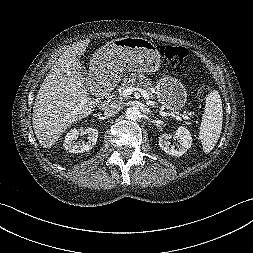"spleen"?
Segmentation results:
<instances>
[{
    "label": "spleen",
    "instance_id": "3e777b00",
    "mask_svg": "<svg viewBox=\"0 0 253 253\" xmlns=\"http://www.w3.org/2000/svg\"><path fill=\"white\" fill-rule=\"evenodd\" d=\"M222 122V101L218 91L214 90L206 98L205 113L199 131V139L205 153L211 152L216 145L221 134Z\"/></svg>",
    "mask_w": 253,
    "mask_h": 253
}]
</instances>
